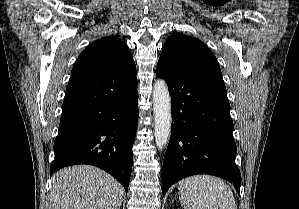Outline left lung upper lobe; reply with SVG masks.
<instances>
[{
    "label": "left lung upper lobe",
    "mask_w": 299,
    "mask_h": 209,
    "mask_svg": "<svg viewBox=\"0 0 299 209\" xmlns=\"http://www.w3.org/2000/svg\"><path fill=\"white\" fill-rule=\"evenodd\" d=\"M157 67L173 73L222 77L212 51L199 39L181 33L167 39Z\"/></svg>",
    "instance_id": "left-lung-upper-lobe-1"
}]
</instances>
